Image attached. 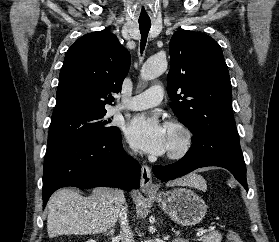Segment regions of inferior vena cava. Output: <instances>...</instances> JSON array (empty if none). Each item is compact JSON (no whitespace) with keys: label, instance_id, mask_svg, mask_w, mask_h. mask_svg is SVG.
I'll list each match as a JSON object with an SVG mask.
<instances>
[{"label":"inferior vena cava","instance_id":"inferior-vena-cava-1","mask_svg":"<svg viewBox=\"0 0 279 242\" xmlns=\"http://www.w3.org/2000/svg\"><path fill=\"white\" fill-rule=\"evenodd\" d=\"M127 209L126 207L123 206L119 217H120V223H121V239L123 242H134L132 239L133 233L130 230V227L128 225V220H127Z\"/></svg>","mask_w":279,"mask_h":242}]
</instances>
